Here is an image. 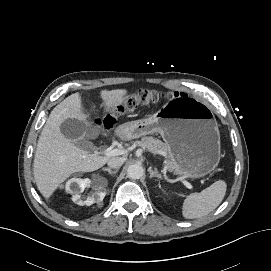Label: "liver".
<instances>
[{
    "label": "liver",
    "mask_w": 271,
    "mask_h": 271,
    "mask_svg": "<svg viewBox=\"0 0 271 271\" xmlns=\"http://www.w3.org/2000/svg\"><path fill=\"white\" fill-rule=\"evenodd\" d=\"M126 94L127 91L121 89L101 91L104 112H111L121 104ZM68 118L89 123L78 93L70 95L52 110L38 140L33 174L38 190L46 199L73 173L96 171L111 158L91 154L66 139L60 131V125Z\"/></svg>",
    "instance_id": "6515ba94"
}]
</instances>
